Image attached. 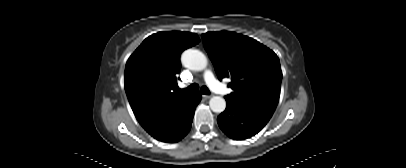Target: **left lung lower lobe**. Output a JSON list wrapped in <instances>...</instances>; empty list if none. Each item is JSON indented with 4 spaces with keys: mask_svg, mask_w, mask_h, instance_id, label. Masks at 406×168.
I'll return each instance as SVG.
<instances>
[{
    "mask_svg": "<svg viewBox=\"0 0 406 168\" xmlns=\"http://www.w3.org/2000/svg\"><path fill=\"white\" fill-rule=\"evenodd\" d=\"M227 107L217 122L221 130L230 138L243 140L257 134L270 120L273 113L252 108L232 100H227Z\"/></svg>",
    "mask_w": 406,
    "mask_h": 168,
    "instance_id": "0a47b994",
    "label": "left lung lower lobe"
}]
</instances>
